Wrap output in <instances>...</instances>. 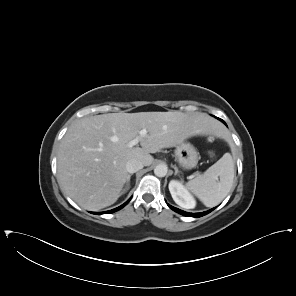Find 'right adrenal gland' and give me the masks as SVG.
<instances>
[{"mask_svg": "<svg viewBox=\"0 0 296 296\" xmlns=\"http://www.w3.org/2000/svg\"><path fill=\"white\" fill-rule=\"evenodd\" d=\"M132 175H133V174H130V175L128 176L127 184H126V187H125L124 191L129 187V185H130V178H131Z\"/></svg>", "mask_w": 296, "mask_h": 296, "instance_id": "obj_1", "label": "right adrenal gland"}]
</instances>
